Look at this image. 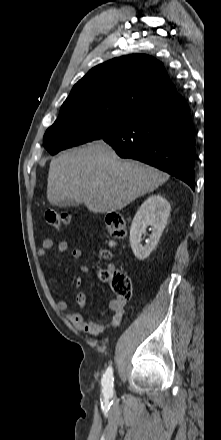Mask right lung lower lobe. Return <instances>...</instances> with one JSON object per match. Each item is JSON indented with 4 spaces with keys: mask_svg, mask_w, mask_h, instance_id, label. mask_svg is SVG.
<instances>
[{
    "mask_svg": "<svg viewBox=\"0 0 221 440\" xmlns=\"http://www.w3.org/2000/svg\"><path fill=\"white\" fill-rule=\"evenodd\" d=\"M100 139L120 157L154 166L194 189V129L176 91L139 107Z\"/></svg>",
    "mask_w": 221,
    "mask_h": 440,
    "instance_id": "obj_1",
    "label": "right lung lower lobe"
}]
</instances>
